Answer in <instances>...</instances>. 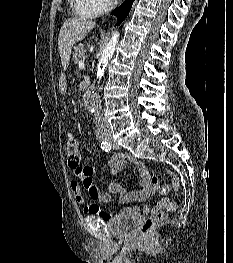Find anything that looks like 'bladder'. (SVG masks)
I'll return each instance as SVG.
<instances>
[{
  "mask_svg": "<svg viewBox=\"0 0 233 263\" xmlns=\"http://www.w3.org/2000/svg\"><path fill=\"white\" fill-rule=\"evenodd\" d=\"M139 222V215L127 209L118 212L106 222L111 234L119 238H130L134 235Z\"/></svg>",
  "mask_w": 233,
  "mask_h": 263,
  "instance_id": "bladder-1",
  "label": "bladder"
}]
</instances>
